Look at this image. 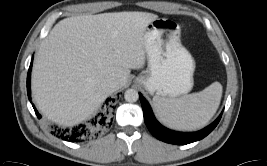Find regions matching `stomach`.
<instances>
[{
    "label": "stomach",
    "mask_w": 267,
    "mask_h": 166,
    "mask_svg": "<svg viewBox=\"0 0 267 166\" xmlns=\"http://www.w3.org/2000/svg\"><path fill=\"white\" fill-rule=\"evenodd\" d=\"M147 70L135 83L160 98H176L193 87L195 61L181 44L180 29L169 19L152 21L145 32Z\"/></svg>",
    "instance_id": "stomach-1"
}]
</instances>
